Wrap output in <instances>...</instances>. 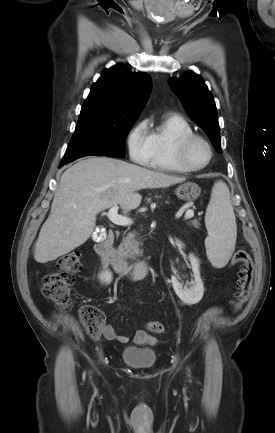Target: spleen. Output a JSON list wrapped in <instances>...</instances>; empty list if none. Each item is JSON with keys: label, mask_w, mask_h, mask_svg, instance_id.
<instances>
[{"label": "spleen", "mask_w": 275, "mask_h": 433, "mask_svg": "<svg viewBox=\"0 0 275 433\" xmlns=\"http://www.w3.org/2000/svg\"><path fill=\"white\" fill-rule=\"evenodd\" d=\"M205 224L207 257L213 266L224 267L232 256L237 237V225L227 185L216 182L212 188Z\"/></svg>", "instance_id": "1"}]
</instances>
